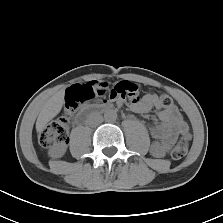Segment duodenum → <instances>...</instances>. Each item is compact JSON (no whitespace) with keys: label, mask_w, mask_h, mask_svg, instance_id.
Masks as SVG:
<instances>
[{"label":"duodenum","mask_w":223,"mask_h":223,"mask_svg":"<svg viewBox=\"0 0 223 223\" xmlns=\"http://www.w3.org/2000/svg\"><path fill=\"white\" fill-rule=\"evenodd\" d=\"M113 109V106L110 104H101L95 107L86 108L80 116L77 118V122H86L93 114L100 111H110Z\"/></svg>","instance_id":"410a0bca"}]
</instances>
